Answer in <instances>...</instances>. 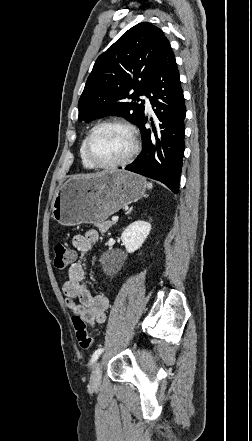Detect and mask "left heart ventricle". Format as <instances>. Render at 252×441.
<instances>
[{"instance_id":"obj_1","label":"left heart ventricle","mask_w":252,"mask_h":441,"mask_svg":"<svg viewBox=\"0 0 252 441\" xmlns=\"http://www.w3.org/2000/svg\"><path fill=\"white\" fill-rule=\"evenodd\" d=\"M131 148L127 131L118 126H104L96 131L90 142V154L99 163L122 159Z\"/></svg>"}]
</instances>
